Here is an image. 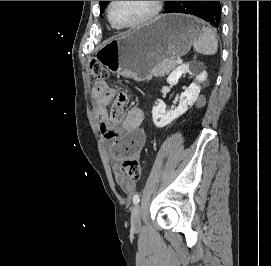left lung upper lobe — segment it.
<instances>
[{
	"mask_svg": "<svg viewBox=\"0 0 271 266\" xmlns=\"http://www.w3.org/2000/svg\"><path fill=\"white\" fill-rule=\"evenodd\" d=\"M110 1H99V4H100V7H101V14L103 13L105 7L107 6V4L109 3ZM168 2V1H166Z\"/></svg>",
	"mask_w": 271,
	"mask_h": 266,
	"instance_id": "5c2ea615",
	"label": "left lung upper lobe"
}]
</instances>
